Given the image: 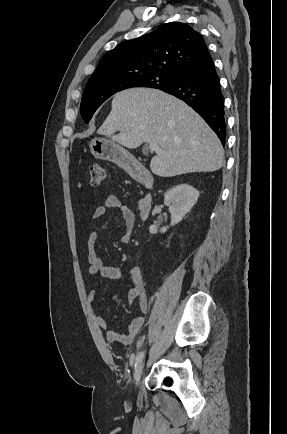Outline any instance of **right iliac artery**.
<instances>
[{
  "instance_id": "1",
  "label": "right iliac artery",
  "mask_w": 287,
  "mask_h": 434,
  "mask_svg": "<svg viewBox=\"0 0 287 434\" xmlns=\"http://www.w3.org/2000/svg\"><path fill=\"white\" fill-rule=\"evenodd\" d=\"M145 352L141 351L137 357H136V366L142 361L143 357H144Z\"/></svg>"
}]
</instances>
